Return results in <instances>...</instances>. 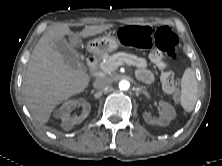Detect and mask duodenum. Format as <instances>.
<instances>
[{"instance_id": "410a0bca", "label": "duodenum", "mask_w": 222, "mask_h": 166, "mask_svg": "<svg viewBox=\"0 0 222 166\" xmlns=\"http://www.w3.org/2000/svg\"><path fill=\"white\" fill-rule=\"evenodd\" d=\"M87 64H88L89 68L91 69V71L94 72L97 65H98V60L95 56H92V55L88 56Z\"/></svg>"}]
</instances>
